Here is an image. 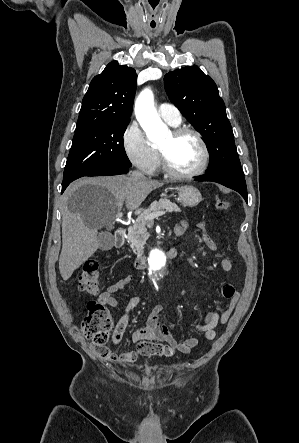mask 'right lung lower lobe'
<instances>
[{
  "label": "right lung lower lobe",
  "mask_w": 299,
  "mask_h": 443,
  "mask_svg": "<svg viewBox=\"0 0 299 443\" xmlns=\"http://www.w3.org/2000/svg\"><path fill=\"white\" fill-rule=\"evenodd\" d=\"M128 171L129 167L127 166H113L97 170L86 176L119 175V174H126L128 173ZM68 185L69 183L62 184V192L66 189Z\"/></svg>",
  "instance_id": "1"
}]
</instances>
